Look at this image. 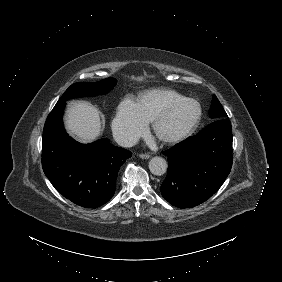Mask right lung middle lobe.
Here are the masks:
<instances>
[{
	"label": "right lung middle lobe",
	"mask_w": 282,
	"mask_h": 282,
	"mask_svg": "<svg viewBox=\"0 0 282 282\" xmlns=\"http://www.w3.org/2000/svg\"><path fill=\"white\" fill-rule=\"evenodd\" d=\"M116 84V79L106 78L101 81L78 82L71 85L57 103L66 102L75 97L96 96L98 94L108 93Z\"/></svg>",
	"instance_id": "dd1d6c3e"
}]
</instances>
